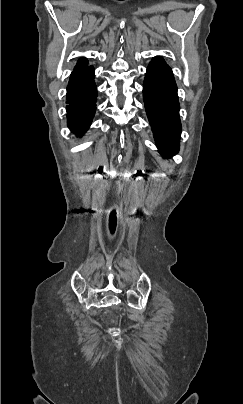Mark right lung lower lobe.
I'll list each match as a JSON object with an SVG mask.
<instances>
[{"label":"right lung lower lobe","mask_w":243,"mask_h":404,"mask_svg":"<svg viewBox=\"0 0 243 404\" xmlns=\"http://www.w3.org/2000/svg\"><path fill=\"white\" fill-rule=\"evenodd\" d=\"M66 98L68 127L77 136H82L88 130L96 110L97 90L93 66L71 73Z\"/></svg>","instance_id":"right-lung-lower-lobe-1"}]
</instances>
